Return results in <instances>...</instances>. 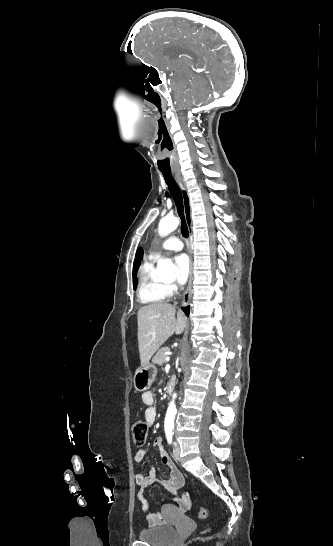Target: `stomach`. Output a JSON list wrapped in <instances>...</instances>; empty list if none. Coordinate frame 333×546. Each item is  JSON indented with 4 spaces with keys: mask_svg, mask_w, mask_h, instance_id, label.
Masks as SVG:
<instances>
[{
    "mask_svg": "<svg viewBox=\"0 0 333 546\" xmlns=\"http://www.w3.org/2000/svg\"><path fill=\"white\" fill-rule=\"evenodd\" d=\"M157 374V368L154 364H148L146 366H140L137 368L133 382L134 387L138 391H147L150 389L152 383Z\"/></svg>",
    "mask_w": 333,
    "mask_h": 546,
    "instance_id": "obj_1",
    "label": "stomach"
}]
</instances>
